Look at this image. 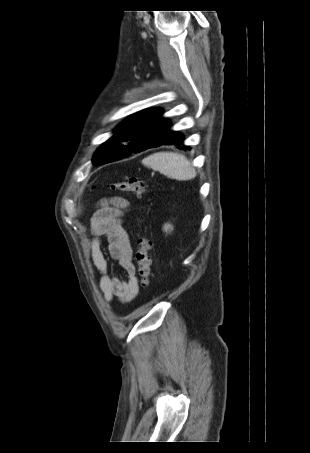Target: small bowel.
<instances>
[{
	"label": "small bowel",
	"mask_w": 310,
	"mask_h": 453,
	"mask_svg": "<svg viewBox=\"0 0 310 453\" xmlns=\"http://www.w3.org/2000/svg\"><path fill=\"white\" fill-rule=\"evenodd\" d=\"M128 206L129 203L122 197L104 200L90 220L94 236L88 244L89 255L100 274L99 288L104 300L108 303L114 298L122 303H128L136 297L139 291L133 263V247L123 221L124 211ZM102 236L107 237L109 255L125 271V279L109 272L108 262L101 249L100 238Z\"/></svg>",
	"instance_id": "small-bowel-1"
}]
</instances>
